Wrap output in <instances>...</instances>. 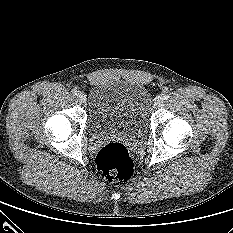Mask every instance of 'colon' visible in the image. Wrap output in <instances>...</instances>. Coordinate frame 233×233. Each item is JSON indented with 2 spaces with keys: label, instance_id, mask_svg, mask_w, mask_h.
<instances>
[{
  "label": "colon",
  "instance_id": "1",
  "mask_svg": "<svg viewBox=\"0 0 233 233\" xmlns=\"http://www.w3.org/2000/svg\"><path fill=\"white\" fill-rule=\"evenodd\" d=\"M96 165L100 174L112 183H121L133 172V161L127 148L119 142H110L97 154Z\"/></svg>",
  "mask_w": 233,
  "mask_h": 233
}]
</instances>
